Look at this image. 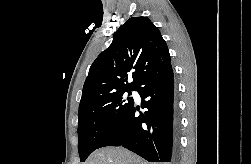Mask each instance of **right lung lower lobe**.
Here are the masks:
<instances>
[{
  "mask_svg": "<svg viewBox=\"0 0 251 164\" xmlns=\"http://www.w3.org/2000/svg\"><path fill=\"white\" fill-rule=\"evenodd\" d=\"M135 91L147 111L136 116L138 108L133 105L98 148L123 146L149 162L176 163L179 124L174 110L171 64L147 75Z\"/></svg>",
  "mask_w": 251,
  "mask_h": 164,
  "instance_id": "right-lung-lower-lobe-1",
  "label": "right lung lower lobe"
}]
</instances>
